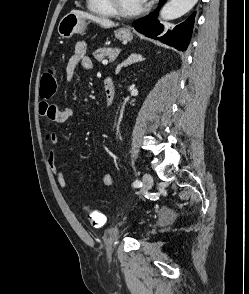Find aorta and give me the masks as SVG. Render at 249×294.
<instances>
[{
  "label": "aorta",
  "mask_w": 249,
  "mask_h": 294,
  "mask_svg": "<svg viewBox=\"0 0 249 294\" xmlns=\"http://www.w3.org/2000/svg\"><path fill=\"white\" fill-rule=\"evenodd\" d=\"M198 0H170L164 5L160 16L164 20L177 19L189 12Z\"/></svg>",
  "instance_id": "1"
}]
</instances>
